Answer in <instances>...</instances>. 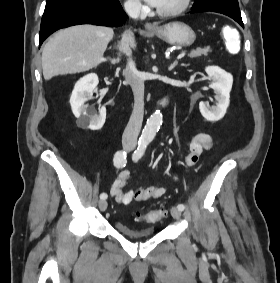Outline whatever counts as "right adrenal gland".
<instances>
[{"mask_svg": "<svg viewBox=\"0 0 280 283\" xmlns=\"http://www.w3.org/2000/svg\"><path fill=\"white\" fill-rule=\"evenodd\" d=\"M107 60H109L112 64H117L120 61V57H117L116 59L108 57Z\"/></svg>", "mask_w": 280, "mask_h": 283, "instance_id": "right-adrenal-gland-1", "label": "right adrenal gland"}]
</instances>
